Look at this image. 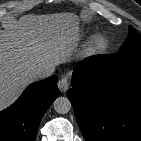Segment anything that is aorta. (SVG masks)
I'll return each mask as SVG.
<instances>
[{
    "mask_svg": "<svg viewBox=\"0 0 141 141\" xmlns=\"http://www.w3.org/2000/svg\"><path fill=\"white\" fill-rule=\"evenodd\" d=\"M54 109L59 114H66L70 111L72 105L67 97H58L53 102Z\"/></svg>",
    "mask_w": 141,
    "mask_h": 141,
    "instance_id": "obj_1",
    "label": "aorta"
}]
</instances>
